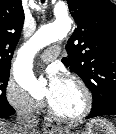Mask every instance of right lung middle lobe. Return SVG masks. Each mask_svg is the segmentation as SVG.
I'll return each instance as SVG.
<instances>
[{
	"label": "right lung middle lobe",
	"instance_id": "1",
	"mask_svg": "<svg viewBox=\"0 0 116 134\" xmlns=\"http://www.w3.org/2000/svg\"><path fill=\"white\" fill-rule=\"evenodd\" d=\"M9 75V69L0 71V115H4L5 113L13 110L6 99V86L9 80Z\"/></svg>",
	"mask_w": 116,
	"mask_h": 134
}]
</instances>
